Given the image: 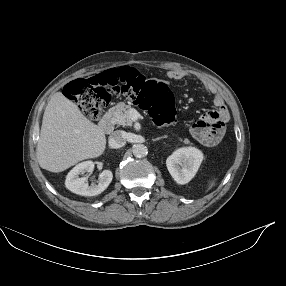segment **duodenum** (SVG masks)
Wrapping results in <instances>:
<instances>
[{
	"mask_svg": "<svg viewBox=\"0 0 286 286\" xmlns=\"http://www.w3.org/2000/svg\"><path fill=\"white\" fill-rule=\"evenodd\" d=\"M100 126L101 130L106 134H109L114 130V123L109 111L104 114Z\"/></svg>",
	"mask_w": 286,
	"mask_h": 286,
	"instance_id": "duodenum-1",
	"label": "duodenum"
}]
</instances>
